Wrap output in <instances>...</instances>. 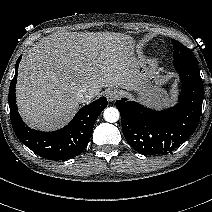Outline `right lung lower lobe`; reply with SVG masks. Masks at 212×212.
<instances>
[{"mask_svg": "<svg viewBox=\"0 0 212 212\" xmlns=\"http://www.w3.org/2000/svg\"><path fill=\"white\" fill-rule=\"evenodd\" d=\"M21 56L15 65V76L9 88L8 103L10 117L17 138L37 155L50 160H67L84 151L100 113L107 106V99L98 100L82 107L73 120L64 128L54 132H41L29 128L21 119L16 105V81Z\"/></svg>", "mask_w": 212, "mask_h": 212, "instance_id": "1", "label": "right lung lower lobe"}]
</instances>
